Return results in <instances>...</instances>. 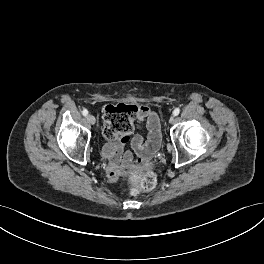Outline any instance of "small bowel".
<instances>
[{"instance_id":"1","label":"small bowel","mask_w":264,"mask_h":264,"mask_svg":"<svg viewBox=\"0 0 264 264\" xmlns=\"http://www.w3.org/2000/svg\"><path fill=\"white\" fill-rule=\"evenodd\" d=\"M136 107L137 113L135 120L137 126L138 128H142V125H145L148 132L147 139L144 140L139 134L133 137H131L130 134L119 135L109 139L110 141L102 150V155L110 161L108 174L113 181L117 178L120 164L124 169L133 166L132 154L124 151V147L128 142H130L134 152L142 159L152 156L160 147L161 132L157 113L145 105ZM106 123L105 121L104 127Z\"/></svg>"}]
</instances>
